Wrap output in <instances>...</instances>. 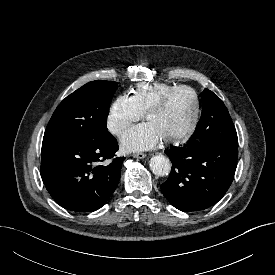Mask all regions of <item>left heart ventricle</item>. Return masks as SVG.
Wrapping results in <instances>:
<instances>
[{"label": "left heart ventricle", "mask_w": 275, "mask_h": 275, "mask_svg": "<svg viewBox=\"0 0 275 275\" xmlns=\"http://www.w3.org/2000/svg\"><path fill=\"white\" fill-rule=\"evenodd\" d=\"M194 108L192 93L181 90L171 95L160 111L149 115L147 121L153 124L163 139L175 137L190 126Z\"/></svg>", "instance_id": "obj_1"}]
</instances>
